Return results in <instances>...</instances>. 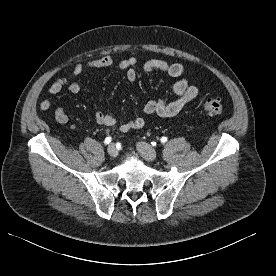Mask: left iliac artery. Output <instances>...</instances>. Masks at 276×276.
<instances>
[{"label":"left iliac artery","mask_w":276,"mask_h":276,"mask_svg":"<svg viewBox=\"0 0 276 276\" xmlns=\"http://www.w3.org/2000/svg\"><path fill=\"white\" fill-rule=\"evenodd\" d=\"M167 137H165V136H163L161 139H160V141L162 142V143H165V142H167Z\"/></svg>","instance_id":"left-iliac-artery-1"}]
</instances>
